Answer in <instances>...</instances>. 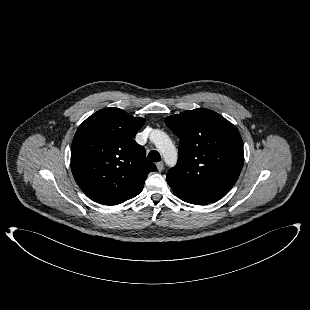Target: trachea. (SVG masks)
Segmentation results:
<instances>
[{"label":"trachea","instance_id":"1","mask_svg":"<svg viewBox=\"0 0 310 310\" xmlns=\"http://www.w3.org/2000/svg\"><path fill=\"white\" fill-rule=\"evenodd\" d=\"M149 160L152 162H159L161 160V156L158 151L156 150H151L148 154Z\"/></svg>","mask_w":310,"mask_h":310}]
</instances>
